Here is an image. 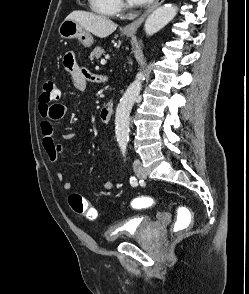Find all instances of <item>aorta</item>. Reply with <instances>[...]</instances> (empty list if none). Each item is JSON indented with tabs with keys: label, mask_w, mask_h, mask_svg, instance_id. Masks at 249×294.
I'll return each mask as SVG.
<instances>
[{
	"label": "aorta",
	"mask_w": 249,
	"mask_h": 294,
	"mask_svg": "<svg viewBox=\"0 0 249 294\" xmlns=\"http://www.w3.org/2000/svg\"><path fill=\"white\" fill-rule=\"evenodd\" d=\"M177 7L175 5L166 4L157 8L147 18L144 29L148 36L161 30L176 15ZM144 73L139 72L135 80L130 84L123 94L115 114V134L120 147H126L129 139V123L131 109L140 94L142 88V80Z\"/></svg>",
	"instance_id": "aorta-1"
}]
</instances>
